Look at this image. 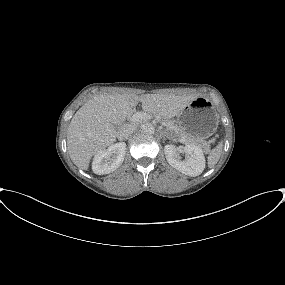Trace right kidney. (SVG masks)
I'll use <instances>...</instances> for the list:
<instances>
[{
    "instance_id": "obj_1",
    "label": "right kidney",
    "mask_w": 285,
    "mask_h": 285,
    "mask_svg": "<svg viewBox=\"0 0 285 285\" xmlns=\"http://www.w3.org/2000/svg\"><path fill=\"white\" fill-rule=\"evenodd\" d=\"M126 144L116 143L107 149L98 152L92 162V170L95 174L104 175L115 171L124 161Z\"/></svg>"
}]
</instances>
